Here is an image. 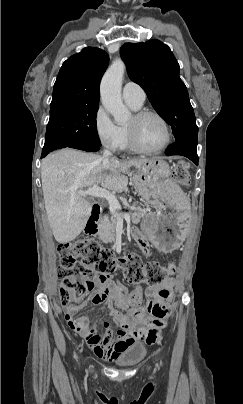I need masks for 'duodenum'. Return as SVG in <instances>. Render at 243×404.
Here are the masks:
<instances>
[{"label": "duodenum", "mask_w": 243, "mask_h": 404, "mask_svg": "<svg viewBox=\"0 0 243 404\" xmlns=\"http://www.w3.org/2000/svg\"><path fill=\"white\" fill-rule=\"evenodd\" d=\"M100 214V205L94 203L92 205L91 213L85 226V233L93 236L97 233V221Z\"/></svg>", "instance_id": "obj_1"}]
</instances>
